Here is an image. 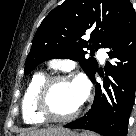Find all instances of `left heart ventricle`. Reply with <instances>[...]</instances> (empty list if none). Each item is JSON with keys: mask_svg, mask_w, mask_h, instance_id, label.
Returning a JSON list of instances; mask_svg holds the SVG:
<instances>
[{"mask_svg": "<svg viewBox=\"0 0 136 136\" xmlns=\"http://www.w3.org/2000/svg\"><path fill=\"white\" fill-rule=\"evenodd\" d=\"M48 105L51 112L57 116L73 113L80 105L74 83H55L49 93Z\"/></svg>", "mask_w": 136, "mask_h": 136, "instance_id": "1", "label": "left heart ventricle"}]
</instances>
